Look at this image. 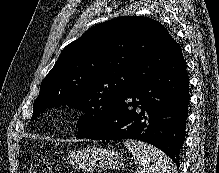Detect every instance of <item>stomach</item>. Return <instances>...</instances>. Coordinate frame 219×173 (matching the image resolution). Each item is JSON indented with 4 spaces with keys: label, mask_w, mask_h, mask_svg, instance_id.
I'll use <instances>...</instances> for the list:
<instances>
[{
    "label": "stomach",
    "mask_w": 219,
    "mask_h": 173,
    "mask_svg": "<svg viewBox=\"0 0 219 173\" xmlns=\"http://www.w3.org/2000/svg\"><path fill=\"white\" fill-rule=\"evenodd\" d=\"M67 159L73 167L90 173L105 169H118L124 162L122 154L94 147L74 150Z\"/></svg>",
    "instance_id": "1"
}]
</instances>
